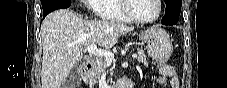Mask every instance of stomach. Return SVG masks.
<instances>
[{
    "mask_svg": "<svg viewBox=\"0 0 227 88\" xmlns=\"http://www.w3.org/2000/svg\"><path fill=\"white\" fill-rule=\"evenodd\" d=\"M147 44V53L159 63L166 62L172 53V42L168 33L159 27H152L139 34Z\"/></svg>",
    "mask_w": 227,
    "mask_h": 88,
    "instance_id": "1",
    "label": "stomach"
}]
</instances>
